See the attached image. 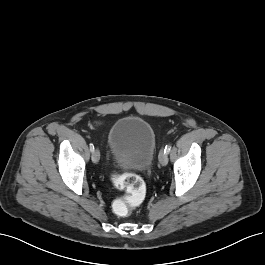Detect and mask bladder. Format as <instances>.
<instances>
[{"label": "bladder", "instance_id": "bladder-1", "mask_svg": "<svg viewBox=\"0 0 265 265\" xmlns=\"http://www.w3.org/2000/svg\"><path fill=\"white\" fill-rule=\"evenodd\" d=\"M108 146L122 168L145 170L153 162L156 137L148 121L138 116H125L112 124Z\"/></svg>", "mask_w": 265, "mask_h": 265}]
</instances>
